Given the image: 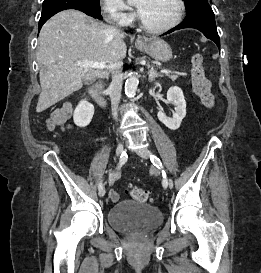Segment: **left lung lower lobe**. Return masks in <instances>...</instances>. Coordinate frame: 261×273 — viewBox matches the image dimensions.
Here are the masks:
<instances>
[{
  "label": "left lung lower lobe",
  "mask_w": 261,
  "mask_h": 273,
  "mask_svg": "<svg viewBox=\"0 0 261 273\" xmlns=\"http://www.w3.org/2000/svg\"><path fill=\"white\" fill-rule=\"evenodd\" d=\"M184 21L177 27L166 32L164 35L169 34L175 30L183 28H195L200 30L207 38L211 39L220 48V40L216 28L214 13L208 3L200 4L193 7Z\"/></svg>",
  "instance_id": "left-lung-lower-lobe-1"
}]
</instances>
